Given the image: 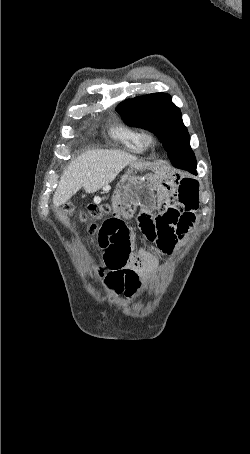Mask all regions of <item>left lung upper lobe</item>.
I'll return each instance as SVG.
<instances>
[{"instance_id":"left-lung-upper-lobe-1","label":"left lung upper lobe","mask_w":250,"mask_h":454,"mask_svg":"<svg viewBox=\"0 0 250 454\" xmlns=\"http://www.w3.org/2000/svg\"><path fill=\"white\" fill-rule=\"evenodd\" d=\"M116 111L127 125L154 133L162 142L168 157L190 153V136L182 121V114L166 93H153L126 100Z\"/></svg>"}]
</instances>
